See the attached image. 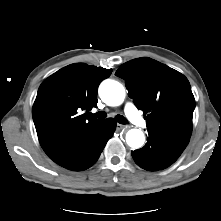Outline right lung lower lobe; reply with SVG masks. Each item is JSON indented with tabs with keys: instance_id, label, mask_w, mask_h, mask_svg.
<instances>
[{
	"instance_id": "1",
	"label": "right lung lower lobe",
	"mask_w": 221,
	"mask_h": 221,
	"mask_svg": "<svg viewBox=\"0 0 221 221\" xmlns=\"http://www.w3.org/2000/svg\"><path fill=\"white\" fill-rule=\"evenodd\" d=\"M115 128L114 119L102 120L70 142L51 159L69 170H85L98 160L107 141L113 136Z\"/></svg>"
}]
</instances>
